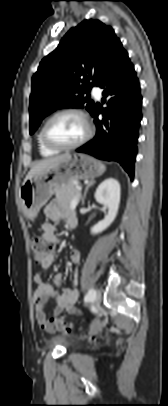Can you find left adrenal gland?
Instances as JSON below:
<instances>
[{"instance_id": "1", "label": "left adrenal gland", "mask_w": 168, "mask_h": 406, "mask_svg": "<svg viewBox=\"0 0 168 406\" xmlns=\"http://www.w3.org/2000/svg\"><path fill=\"white\" fill-rule=\"evenodd\" d=\"M94 183H95V181H94V180H91V181L87 184V186H86V188H85V191H84V194H83V197H82V204H84V200H85V197H86V194H87V191H88L89 187L92 186Z\"/></svg>"}]
</instances>
